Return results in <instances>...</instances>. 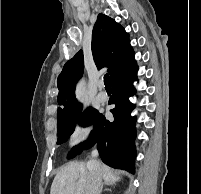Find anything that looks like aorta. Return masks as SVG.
Masks as SVG:
<instances>
[{
    "label": "aorta",
    "instance_id": "aorta-1",
    "mask_svg": "<svg viewBox=\"0 0 201 194\" xmlns=\"http://www.w3.org/2000/svg\"><path fill=\"white\" fill-rule=\"evenodd\" d=\"M84 96V83L80 82L77 87V97L82 100Z\"/></svg>",
    "mask_w": 201,
    "mask_h": 194
}]
</instances>
